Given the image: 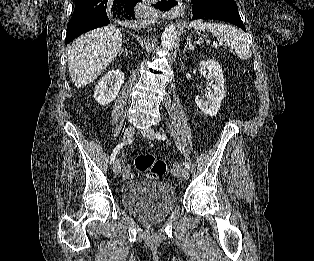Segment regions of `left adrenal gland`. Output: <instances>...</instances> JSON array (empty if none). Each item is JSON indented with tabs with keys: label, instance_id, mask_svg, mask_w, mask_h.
<instances>
[{
	"label": "left adrenal gland",
	"instance_id": "left-adrenal-gland-1",
	"mask_svg": "<svg viewBox=\"0 0 314 261\" xmlns=\"http://www.w3.org/2000/svg\"><path fill=\"white\" fill-rule=\"evenodd\" d=\"M188 49H192V47H191V45H190V44L185 43L183 53L185 54V53H186V51H187Z\"/></svg>",
	"mask_w": 314,
	"mask_h": 261
}]
</instances>
